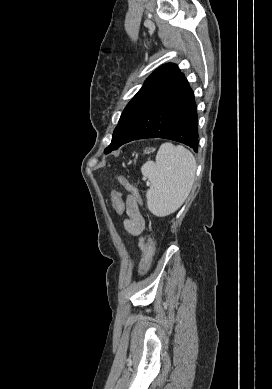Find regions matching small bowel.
<instances>
[{
	"instance_id": "c3829d8e",
	"label": "small bowel",
	"mask_w": 272,
	"mask_h": 389,
	"mask_svg": "<svg viewBox=\"0 0 272 389\" xmlns=\"http://www.w3.org/2000/svg\"><path fill=\"white\" fill-rule=\"evenodd\" d=\"M124 208L127 216L124 220V227L129 234L140 238L139 247L143 251L144 241L141 235L145 229V221L140 212L138 201L129 195L125 201Z\"/></svg>"
}]
</instances>
